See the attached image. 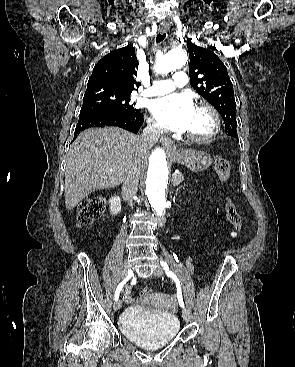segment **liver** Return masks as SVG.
<instances>
[{
    "label": "liver",
    "instance_id": "liver-1",
    "mask_svg": "<svg viewBox=\"0 0 295 367\" xmlns=\"http://www.w3.org/2000/svg\"><path fill=\"white\" fill-rule=\"evenodd\" d=\"M149 149L140 137L117 127L90 128L70 146L65 171V206L72 210L95 190L120 185L129 168L140 172Z\"/></svg>",
    "mask_w": 295,
    "mask_h": 367
}]
</instances>
